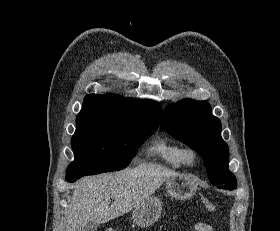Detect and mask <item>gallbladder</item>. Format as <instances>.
Wrapping results in <instances>:
<instances>
[{
  "instance_id": "gallbladder-1",
  "label": "gallbladder",
  "mask_w": 280,
  "mask_h": 231,
  "mask_svg": "<svg viewBox=\"0 0 280 231\" xmlns=\"http://www.w3.org/2000/svg\"><path fill=\"white\" fill-rule=\"evenodd\" d=\"M99 223H94V221H89L87 225H85L83 231H95L97 229Z\"/></svg>"
}]
</instances>
